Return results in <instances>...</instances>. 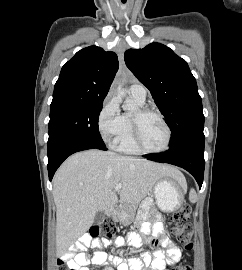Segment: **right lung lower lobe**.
<instances>
[{
	"instance_id": "98d812e1",
	"label": "right lung lower lobe",
	"mask_w": 242,
	"mask_h": 270,
	"mask_svg": "<svg viewBox=\"0 0 242 270\" xmlns=\"http://www.w3.org/2000/svg\"><path fill=\"white\" fill-rule=\"evenodd\" d=\"M107 150L105 145L95 144L90 141H68L55 146L48 151V173L51 181L61 163L71 154L87 149Z\"/></svg>"
}]
</instances>
